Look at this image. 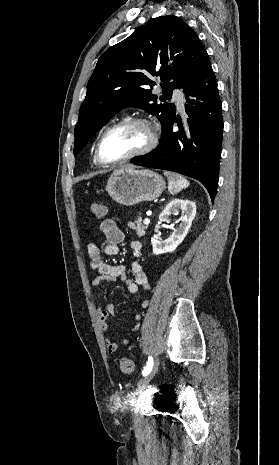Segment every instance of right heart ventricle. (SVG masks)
Wrapping results in <instances>:
<instances>
[{
  "label": "right heart ventricle",
  "mask_w": 279,
  "mask_h": 465,
  "mask_svg": "<svg viewBox=\"0 0 279 465\" xmlns=\"http://www.w3.org/2000/svg\"><path fill=\"white\" fill-rule=\"evenodd\" d=\"M94 163H95V164H99V163L97 162V159H96L95 155H94Z\"/></svg>",
  "instance_id": "e07e8e85"
}]
</instances>
